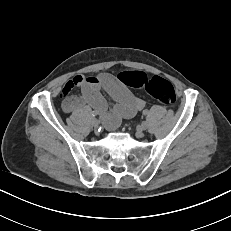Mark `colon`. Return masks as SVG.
<instances>
[{
	"instance_id": "colon-1",
	"label": "colon",
	"mask_w": 231,
	"mask_h": 231,
	"mask_svg": "<svg viewBox=\"0 0 231 231\" xmlns=\"http://www.w3.org/2000/svg\"><path fill=\"white\" fill-rule=\"evenodd\" d=\"M117 78L127 87L145 89L146 92L160 103L172 106L176 102V94L173 85L158 76L149 78L140 71L121 72Z\"/></svg>"
}]
</instances>
